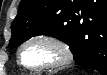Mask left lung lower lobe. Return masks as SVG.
Returning a JSON list of instances; mask_svg holds the SVG:
<instances>
[{
  "label": "left lung lower lobe",
  "mask_w": 107,
  "mask_h": 75,
  "mask_svg": "<svg viewBox=\"0 0 107 75\" xmlns=\"http://www.w3.org/2000/svg\"><path fill=\"white\" fill-rule=\"evenodd\" d=\"M88 3L97 8L83 19L80 37L87 40L86 48L84 54L74 60L79 66L107 74V0H88ZM95 29L96 34L89 40V32Z\"/></svg>",
  "instance_id": "left-lung-lower-lobe-1"
}]
</instances>
